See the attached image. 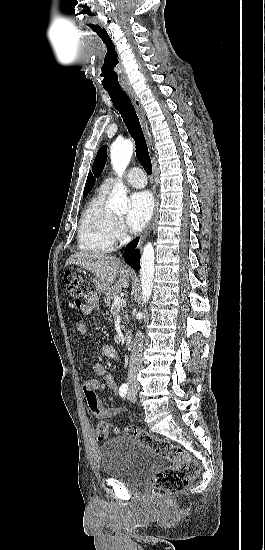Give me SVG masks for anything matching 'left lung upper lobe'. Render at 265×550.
Masks as SVG:
<instances>
[{"mask_svg":"<svg viewBox=\"0 0 265 550\" xmlns=\"http://www.w3.org/2000/svg\"><path fill=\"white\" fill-rule=\"evenodd\" d=\"M106 158H107V147L102 146L99 149V151L96 155V158L94 160V163H93V171H94L96 177H99L101 172L103 171V168H104V165H105V162H106Z\"/></svg>","mask_w":265,"mask_h":550,"instance_id":"5c2ea615","label":"left lung upper lobe"}]
</instances>
